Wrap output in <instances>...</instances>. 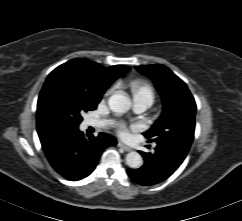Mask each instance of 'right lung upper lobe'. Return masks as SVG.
I'll list each match as a JSON object with an SVG mask.
<instances>
[{
    "mask_svg": "<svg viewBox=\"0 0 242 221\" xmlns=\"http://www.w3.org/2000/svg\"><path fill=\"white\" fill-rule=\"evenodd\" d=\"M130 70L127 66L103 67L88 59H73L56 69L47 77L41 90L37 107V131L39 136L53 130L49 124L43 101L47 93L57 85L79 90L89 97H100L109 85Z\"/></svg>",
    "mask_w": 242,
    "mask_h": 221,
    "instance_id": "right-lung-upper-lobe-1",
    "label": "right lung upper lobe"
}]
</instances>
